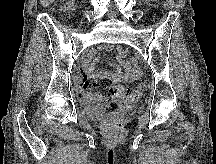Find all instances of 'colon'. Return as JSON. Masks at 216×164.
<instances>
[{
  "mask_svg": "<svg viewBox=\"0 0 216 164\" xmlns=\"http://www.w3.org/2000/svg\"><path fill=\"white\" fill-rule=\"evenodd\" d=\"M60 9L64 13L70 12L73 9V1L67 0L63 2ZM100 84L103 88L108 90L110 97L115 101L133 103L141 96L140 89H130L123 85H113L108 79L101 80Z\"/></svg>",
  "mask_w": 216,
  "mask_h": 164,
  "instance_id": "colon-1",
  "label": "colon"
}]
</instances>
